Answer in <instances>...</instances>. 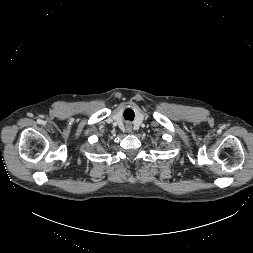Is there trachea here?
Returning <instances> with one entry per match:
<instances>
[{
  "instance_id": "3493384b",
  "label": "trachea",
  "mask_w": 253,
  "mask_h": 253,
  "mask_svg": "<svg viewBox=\"0 0 253 253\" xmlns=\"http://www.w3.org/2000/svg\"><path fill=\"white\" fill-rule=\"evenodd\" d=\"M134 116H135V114H134V111L132 109L128 108L124 111L125 120L133 121Z\"/></svg>"
}]
</instances>
